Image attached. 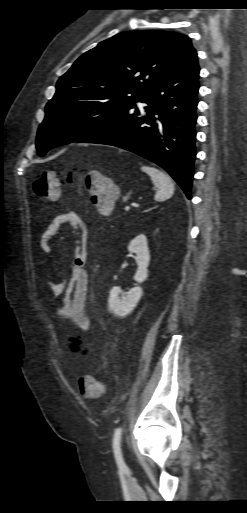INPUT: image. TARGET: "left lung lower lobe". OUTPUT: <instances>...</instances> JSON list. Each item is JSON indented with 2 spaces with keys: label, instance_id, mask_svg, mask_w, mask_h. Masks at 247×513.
Returning <instances> with one entry per match:
<instances>
[{
  "label": "left lung lower lobe",
  "instance_id": "0a47b994",
  "mask_svg": "<svg viewBox=\"0 0 247 513\" xmlns=\"http://www.w3.org/2000/svg\"><path fill=\"white\" fill-rule=\"evenodd\" d=\"M199 71L197 56L192 57L175 76L74 142L112 145L138 154L164 168L191 199ZM138 101L149 105L145 114L137 109Z\"/></svg>",
  "mask_w": 247,
  "mask_h": 513
}]
</instances>
